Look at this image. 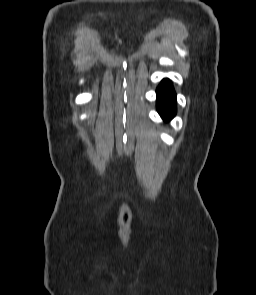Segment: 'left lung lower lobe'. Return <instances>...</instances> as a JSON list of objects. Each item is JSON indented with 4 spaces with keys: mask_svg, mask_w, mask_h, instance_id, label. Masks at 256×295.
<instances>
[{
    "mask_svg": "<svg viewBox=\"0 0 256 295\" xmlns=\"http://www.w3.org/2000/svg\"><path fill=\"white\" fill-rule=\"evenodd\" d=\"M156 93L158 113L165 121H169L176 114V94L171 81L163 80Z\"/></svg>",
    "mask_w": 256,
    "mask_h": 295,
    "instance_id": "left-lung-lower-lobe-1",
    "label": "left lung lower lobe"
}]
</instances>
